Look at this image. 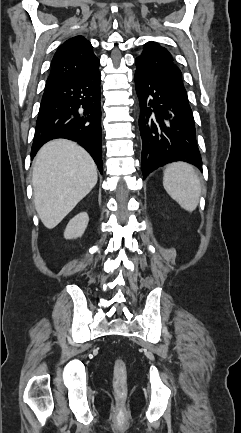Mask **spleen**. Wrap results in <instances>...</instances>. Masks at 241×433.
Instances as JSON below:
<instances>
[{
  "label": "spleen",
  "mask_w": 241,
  "mask_h": 433,
  "mask_svg": "<svg viewBox=\"0 0 241 433\" xmlns=\"http://www.w3.org/2000/svg\"><path fill=\"white\" fill-rule=\"evenodd\" d=\"M163 186L170 197L181 208L193 212L199 203L201 184L192 165L185 162H175L167 165Z\"/></svg>",
  "instance_id": "obj_1"
}]
</instances>
